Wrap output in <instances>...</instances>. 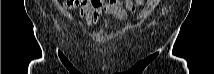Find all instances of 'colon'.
Returning <instances> with one entry per match:
<instances>
[{
	"label": "colon",
	"mask_w": 214,
	"mask_h": 74,
	"mask_svg": "<svg viewBox=\"0 0 214 74\" xmlns=\"http://www.w3.org/2000/svg\"><path fill=\"white\" fill-rule=\"evenodd\" d=\"M136 2H139V3H140V2H142V0H136Z\"/></svg>",
	"instance_id": "obj_1"
}]
</instances>
